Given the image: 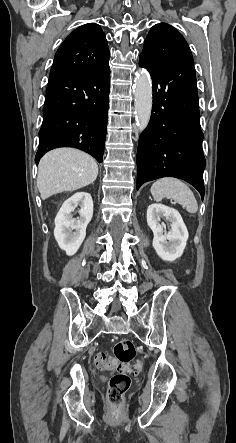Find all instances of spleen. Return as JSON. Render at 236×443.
<instances>
[{
    "label": "spleen",
    "mask_w": 236,
    "mask_h": 443,
    "mask_svg": "<svg viewBox=\"0 0 236 443\" xmlns=\"http://www.w3.org/2000/svg\"><path fill=\"white\" fill-rule=\"evenodd\" d=\"M151 194L156 201L169 198L186 208L187 212L194 214L198 204L192 190L176 178H162L151 186Z\"/></svg>",
    "instance_id": "1"
}]
</instances>
